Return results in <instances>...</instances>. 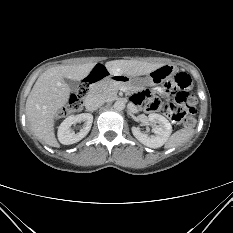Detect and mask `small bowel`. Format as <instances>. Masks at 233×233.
<instances>
[{
  "label": "small bowel",
  "instance_id": "obj_1",
  "mask_svg": "<svg viewBox=\"0 0 233 233\" xmlns=\"http://www.w3.org/2000/svg\"><path fill=\"white\" fill-rule=\"evenodd\" d=\"M157 92L162 93L163 90H162V89H158ZM153 99H155L154 96L149 95V94H147V93H143V92H142V93H138V94H136V95L134 96V101H135V102H140V101H143V100L146 101V108H147L148 111H153V110H151L150 107H149V106H150V103L153 101Z\"/></svg>",
  "mask_w": 233,
  "mask_h": 233
}]
</instances>
